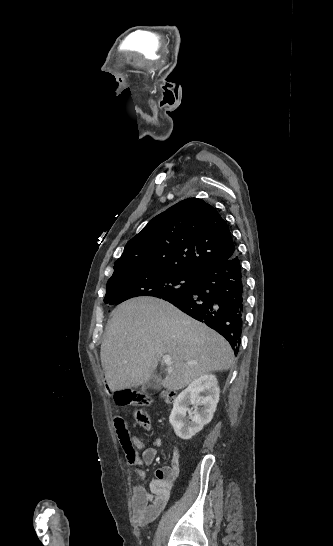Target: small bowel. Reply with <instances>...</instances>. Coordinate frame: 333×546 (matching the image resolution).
Returning a JSON list of instances; mask_svg holds the SVG:
<instances>
[{"label": "small bowel", "instance_id": "small-bowel-1", "mask_svg": "<svg viewBox=\"0 0 333 546\" xmlns=\"http://www.w3.org/2000/svg\"><path fill=\"white\" fill-rule=\"evenodd\" d=\"M131 440L135 448L143 450L133 460H128L139 478L132 497V518L139 527H145L168 503L171 495L170 486L180 470V457L178 450L174 447L170 466L157 471V478L151 482L150 490L147 491L141 483L145 476L143 467L152 463L156 456V447L161 442L157 439L154 447L145 448L144 442L139 437L134 436Z\"/></svg>", "mask_w": 333, "mask_h": 546}]
</instances>
